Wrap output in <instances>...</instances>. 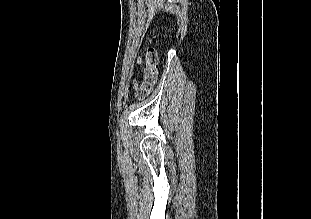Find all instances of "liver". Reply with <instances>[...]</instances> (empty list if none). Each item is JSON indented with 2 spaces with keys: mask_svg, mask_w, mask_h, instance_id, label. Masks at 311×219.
Segmentation results:
<instances>
[{
  "mask_svg": "<svg viewBox=\"0 0 311 219\" xmlns=\"http://www.w3.org/2000/svg\"><path fill=\"white\" fill-rule=\"evenodd\" d=\"M150 3L154 7H160V5L163 4V1L162 0H150Z\"/></svg>",
  "mask_w": 311,
  "mask_h": 219,
  "instance_id": "6515ba94",
  "label": "liver"
}]
</instances>
